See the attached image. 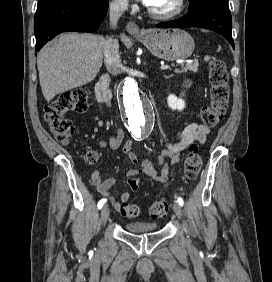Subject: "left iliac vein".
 Instances as JSON below:
<instances>
[{"mask_svg":"<svg viewBox=\"0 0 272 282\" xmlns=\"http://www.w3.org/2000/svg\"><path fill=\"white\" fill-rule=\"evenodd\" d=\"M173 210L176 214V216L180 219L182 216V208L178 203H174Z\"/></svg>","mask_w":272,"mask_h":282,"instance_id":"4c4485c4","label":"left iliac vein"}]
</instances>
